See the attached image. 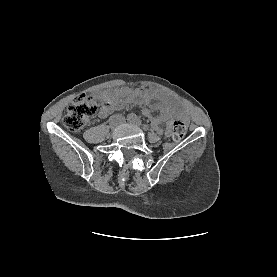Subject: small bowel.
Masks as SVG:
<instances>
[{
	"label": "small bowel",
	"instance_id": "1",
	"mask_svg": "<svg viewBox=\"0 0 277 277\" xmlns=\"http://www.w3.org/2000/svg\"><path fill=\"white\" fill-rule=\"evenodd\" d=\"M101 101V109L99 111L100 118H106L115 110H120L133 101H140L152 108L159 110V116L150 114L148 108L142 109V114L149 117L152 127L158 133H162V123H166V135L171 134L172 120L179 113V108L170 94L151 89H134L127 87L123 89L105 91L99 95Z\"/></svg>",
	"mask_w": 277,
	"mask_h": 277
}]
</instances>
